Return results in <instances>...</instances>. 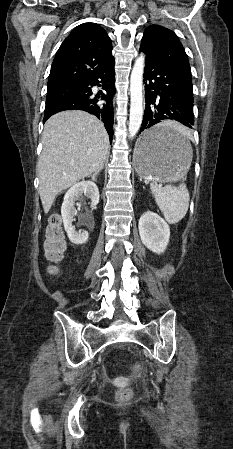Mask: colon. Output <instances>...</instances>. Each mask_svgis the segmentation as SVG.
Returning <instances> with one entry per match:
<instances>
[{
  "mask_svg": "<svg viewBox=\"0 0 233 449\" xmlns=\"http://www.w3.org/2000/svg\"><path fill=\"white\" fill-rule=\"evenodd\" d=\"M64 240L61 229L57 225L56 221L53 220L50 228L47 232V238L45 242V248L47 257L51 261H58L64 251ZM130 397V389L126 386H121L117 392V398L119 401H125Z\"/></svg>",
  "mask_w": 233,
  "mask_h": 449,
  "instance_id": "5ec220e1",
  "label": "colon"
}]
</instances>
